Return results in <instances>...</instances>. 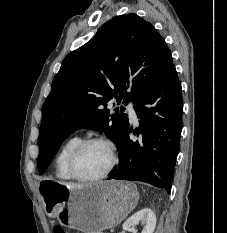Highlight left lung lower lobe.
Returning a JSON list of instances; mask_svg holds the SVG:
<instances>
[{
  "label": "left lung lower lobe",
  "instance_id": "1",
  "mask_svg": "<svg viewBox=\"0 0 227 233\" xmlns=\"http://www.w3.org/2000/svg\"><path fill=\"white\" fill-rule=\"evenodd\" d=\"M181 92L173 65L159 85L134 102L139 127L128 124L117 146L120 162L108 179L143 181L170 192L182 131ZM130 133L139 139L131 140Z\"/></svg>",
  "mask_w": 227,
  "mask_h": 233
}]
</instances>
